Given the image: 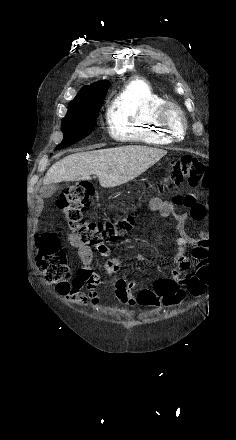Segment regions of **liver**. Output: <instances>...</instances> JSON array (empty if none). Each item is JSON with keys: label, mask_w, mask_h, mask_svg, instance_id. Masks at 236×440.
<instances>
[{"label": "liver", "mask_w": 236, "mask_h": 440, "mask_svg": "<svg viewBox=\"0 0 236 440\" xmlns=\"http://www.w3.org/2000/svg\"><path fill=\"white\" fill-rule=\"evenodd\" d=\"M166 153L135 145L73 153L49 168L43 184L90 180L95 174L103 188L116 187L144 173Z\"/></svg>", "instance_id": "obj_1"}]
</instances>
